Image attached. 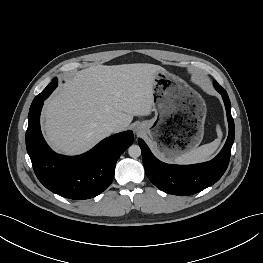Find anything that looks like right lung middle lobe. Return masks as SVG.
<instances>
[{
    "instance_id": "1",
    "label": "right lung middle lobe",
    "mask_w": 263,
    "mask_h": 263,
    "mask_svg": "<svg viewBox=\"0 0 263 263\" xmlns=\"http://www.w3.org/2000/svg\"><path fill=\"white\" fill-rule=\"evenodd\" d=\"M57 79L55 78V79H53L52 80V82L45 88V89H48V88H51V87H53V85H55V87L54 88H56L57 87ZM35 102V100H33V102H32V104Z\"/></svg>"
}]
</instances>
